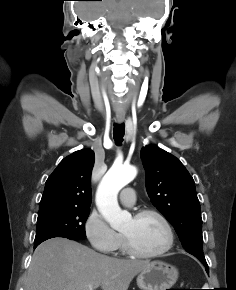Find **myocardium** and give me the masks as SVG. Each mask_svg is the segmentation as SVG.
<instances>
[{
    "label": "myocardium",
    "instance_id": "f54148a6",
    "mask_svg": "<svg viewBox=\"0 0 236 290\" xmlns=\"http://www.w3.org/2000/svg\"><path fill=\"white\" fill-rule=\"evenodd\" d=\"M144 216H154L156 217L164 226L166 233H167V241L164 247H162L160 250L152 253H145L137 250L132 243L130 242L129 238L122 234V239L124 242V248L127 251L128 254H130L133 257L140 258V259H154L163 256L166 254L174 245V231L172 228V225L170 224L169 220L166 218L164 214H162L160 211L152 208H145L137 211L134 214L135 219L142 218Z\"/></svg>",
    "mask_w": 236,
    "mask_h": 290
}]
</instances>
